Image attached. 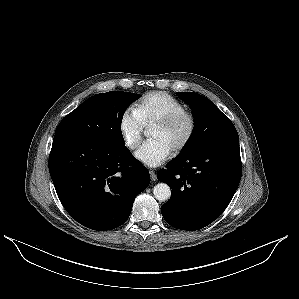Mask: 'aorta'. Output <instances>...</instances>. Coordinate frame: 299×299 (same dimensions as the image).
Returning <instances> with one entry per match:
<instances>
[{
  "mask_svg": "<svg viewBox=\"0 0 299 299\" xmlns=\"http://www.w3.org/2000/svg\"><path fill=\"white\" fill-rule=\"evenodd\" d=\"M154 197L163 202L171 197V189L166 183H158L153 189Z\"/></svg>",
  "mask_w": 299,
  "mask_h": 299,
  "instance_id": "1",
  "label": "aorta"
}]
</instances>
